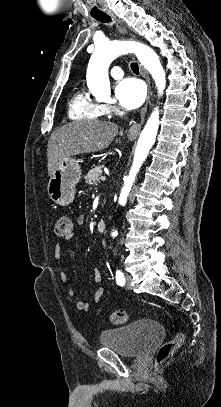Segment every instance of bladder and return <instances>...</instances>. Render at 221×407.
<instances>
[{
    "instance_id": "1",
    "label": "bladder",
    "mask_w": 221,
    "mask_h": 407,
    "mask_svg": "<svg viewBox=\"0 0 221 407\" xmlns=\"http://www.w3.org/2000/svg\"><path fill=\"white\" fill-rule=\"evenodd\" d=\"M163 333L164 327L159 320L142 319L124 327L102 331L99 343L104 347L113 348L120 355L137 357Z\"/></svg>"
}]
</instances>
